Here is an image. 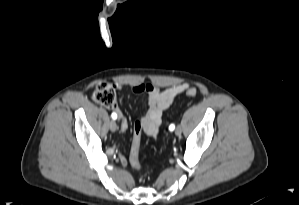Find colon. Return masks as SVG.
Wrapping results in <instances>:
<instances>
[{"mask_svg":"<svg viewBox=\"0 0 299 205\" xmlns=\"http://www.w3.org/2000/svg\"><path fill=\"white\" fill-rule=\"evenodd\" d=\"M186 95L195 97L197 91L195 88H187ZM92 97L95 102L107 108H114L117 105V94L115 87L106 81L97 82L93 87ZM143 127V118H138L134 126V138L130 150V165L133 169L140 171L142 165L139 160L140 138Z\"/></svg>","mask_w":299,"mask_h":205,"instance_id":"5ec220e1","label":"colon"}]
</instances>
